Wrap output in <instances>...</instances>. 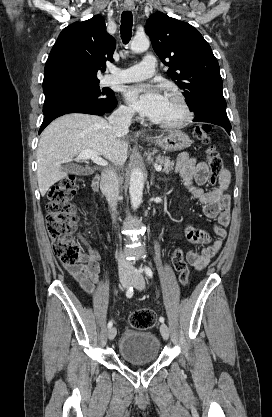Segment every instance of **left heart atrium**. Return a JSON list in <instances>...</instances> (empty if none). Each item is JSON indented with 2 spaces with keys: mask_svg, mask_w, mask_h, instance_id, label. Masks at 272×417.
Returning a JSON list of instances; mask_svg holds the SVG:
<instances>
[{
  "mask_svg": "<svg viewBox=\"0 0 272 417\" xmlns=\"http://www.w3.org/2000/svg\"><path fill=\"white\" fill-rule=\"evenodd\" d=\"M125 96L136 111L152 120L161 112L166 98L157 87L148 84L129 87Z\"/></svg>",
  "mask_w": 272,
  "mask_h": 417,
  "instance_id": "39dd6f15",
  "label": "left heart atrium"
}]
</instances>
